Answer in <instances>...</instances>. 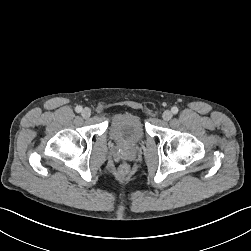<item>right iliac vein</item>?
Segmentation results:
<instances>
[{
    "label": "right iliac vein",
    "mask_w": 251,
    "mask_h": 251,
    "mask_svg": "<svg viewBox=\"0 0 251 251\" xmlns=\"http://www.w3.org/2000/svg\"><path fill=\"white\" fill-rule=\"evenodd\" d=\"M81 115L84 117V118H89L90 115H91V110L89 108H84L81 112Z\"/></svg>",
    "instance_id": "right-iliac-vein-1"
}]
</instances>
